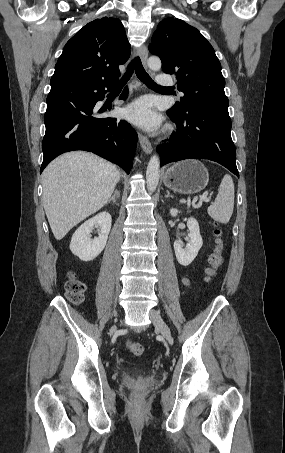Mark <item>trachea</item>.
Instances as JSON below:
<instances>
[{
  "instance_id": "1",
  "label": "trachea",
  "mask_w": 285,
  "mask_h": 453,
  "mask_svg": "<svg viewBox=\"0 0 285 453\" xmlns=\"http://www.w3.org/2000/svg\"><path fill=\"white\" fill-rule=\"evenodd\" d=\"M135 73L137 77L148 87L150 88H165L160 85H157L151 77L146 73L141 60L139 57H135L132 62L129 64L126 73L123 75L122 79L120 80L118 86H124L127 81L130 79L131 75Z\"/></svg>"
}]
</instances>
